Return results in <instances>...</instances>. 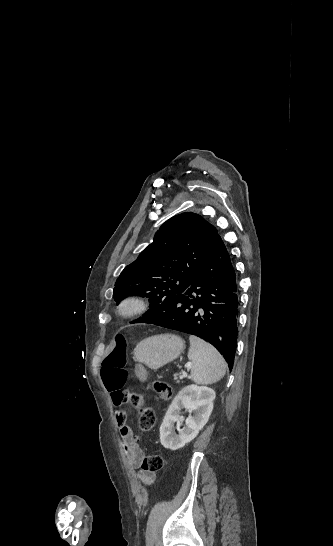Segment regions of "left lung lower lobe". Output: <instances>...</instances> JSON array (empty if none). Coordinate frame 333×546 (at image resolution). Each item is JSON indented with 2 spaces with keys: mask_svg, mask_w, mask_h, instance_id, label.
Masks as SVG:
<instances>
[{
  "mask_svg": "<svg viewBox=\"0 0 333 546\" xmlns=\"http://www.w3.org/2000/svg\"><path fill=\"white\" fill-rule=\"evenodd\" d=\"M238 285L229 253L218 234L210 253L184 293L153 321L141 317L132 323H152L203 338L233 368L238 334Z\"/></svg>",
  "mask_w": 333,
  "mask_h": 546,
  "instance_id": "left-lung-lower-lobe-1",
  "label": "left lung lower lobe"
}]
</instances>
